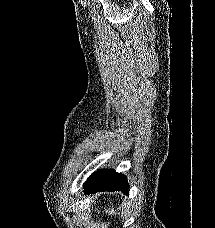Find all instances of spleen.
<instances>
[{"label": "spleen", "mask_w": 215, "mask_h": 228, "mask_svg": "<svg viewBox=\"0 0 215 228\" xmlns=\"http://www.w3.org/2000/svg\"><path fill=\"white\" fill-rule=\"evenodd\" d=\"M106 212H108V210H106ZM108 214H115V212L112 210V212H108Z\"/></svg>", "instance_id": "1"}]
</instances>
